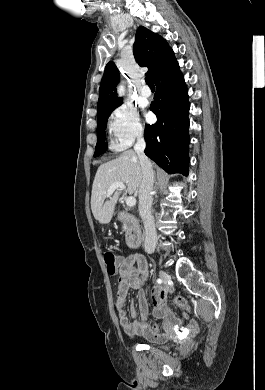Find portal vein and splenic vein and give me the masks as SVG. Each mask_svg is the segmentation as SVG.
<instances>
[{
    "label": "portal vein and splenic vein",
    "mask_w": 265,
    "mask_h": 390,
    "mask_svg": "<svg viewBox=\"0 0 265 390\" xmlns=\"http://www.w3.org/2000/svg\"><path fill=\"white\" fill-rule=\"evenodd\" d=\"M116 189H120L124 191L126 189L123 182H116L110 186V188L107 191V196L110 197ZM127 206L133 207L136 205V198L133 196H129L125 199Z\"/></svg>",
    "instance_id": "portal-vein-and-splenic-vein-1"
}]
</instances>
